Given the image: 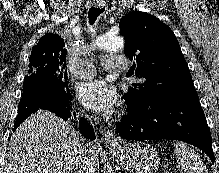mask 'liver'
Instances as JSON below:
<instances>
[{"label": "liver", "mask_w": 219, "mask_h": 173, "mask_svg": "<svg viewBox=\"0 0 219 173\" xmlns=\"http://www.w3.org/2000/svg\"><path fill=\"white\" fill-rule=\"evenodd\" d=\"M80 149L81 138L69 123L39 110L11 136L2 173H73ZM89 168H99L97 154Z\"/></svg>", "instance_id": "1"}]
</instances>
